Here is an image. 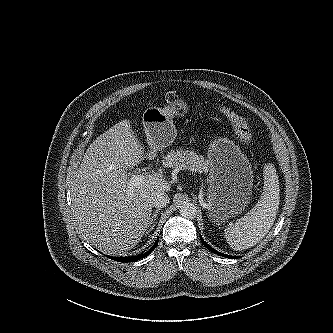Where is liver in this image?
<instances>
[{"mask_svg":"<svg viewBox=\"0 0 333 333\" xmlns=\"http://www.w3.org/2000/svg\"><path fill=\"white\" fill-rule=\"evenodd\" d=\"M144 155L130 122L123 120L94 140L77 170L72 189L76 228L105 254L134 248L148 228L154 194L170 191L161 173L146 175L135 186L130 183L126 170Z\"/></svg>","mask_w":333,"mask_h":333,"instance_id":"6515ba94","label":"liver"}]
</instances>
